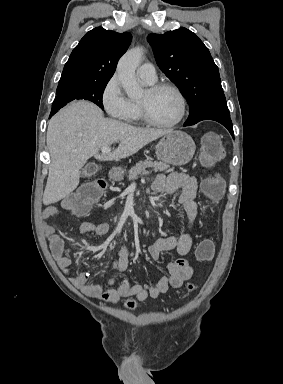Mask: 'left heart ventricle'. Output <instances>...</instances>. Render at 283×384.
Returning a JSON list of instances; mask_svg holds the SVG:
<instances>
[{
  "label": "left heart ventricle",
  "mask_w": 283,
  "mask_h": 384,
  "mask_svg": "<svg viewBox=\"0 0 283 384\" xmlns=\"http://www.w3.org/2000/svg\"><path fill=\"white\" fill-rule=\"evenodd\" d=\"M139 101L146 105L151 118L159 123H169L179 114V100L170 90L150 92L147 88Z\"/></svg>",
  "instance_id": "b2bd125f"
}]
</instances>
